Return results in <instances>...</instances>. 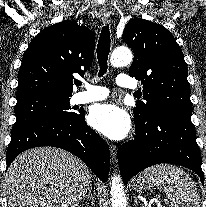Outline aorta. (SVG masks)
<instances>
[{
  "label": "aorta",
  "mask_w": 206,
  "mask_h": 207,
  "mask_svg": "<svg viewBox=\"0 0 206 207\" xmlns=\"http://www.w3.org/2000/svg\"><path fill=\"white\" fill-rule=\"evenodd\" d=\"M131 61L132 54L126 47L116 48L110 58V63L114 67L126 66ZM126 202L122 180L114 175L111 180V207H126Z\"/></svg>",
  "instance_id": "1"
}]
</instances>
